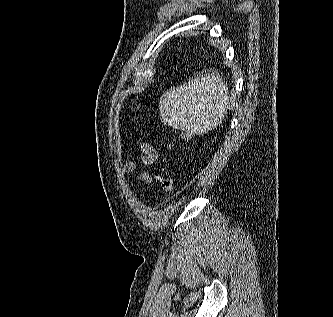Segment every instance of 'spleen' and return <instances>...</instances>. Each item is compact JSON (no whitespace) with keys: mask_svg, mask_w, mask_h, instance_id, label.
I'll use <instances>...</instances> for the list:
<instances>
[{"mask_svg":"<svg viewBox=\"0 0 333 317\" xmlns=\"http://www.w3.org/2000/svg\"><path fill=\"white\" fill-rule=\"evenodd\" d=\"M228 105L227 85L218 74L210 73L164 92L159 113L164 124L202 135L221 123Z\"/></svg>","mask_w":333,"mask_h":317,"instance_id":"obj_1","label":"spleen"}]
</instances>
